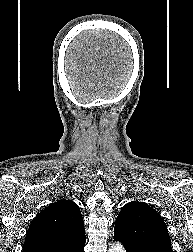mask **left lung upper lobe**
Masks as SVG:
<instances>
[{"instance_id": "1", "label": "left lung upper lobe", "mask_w": 193, "mask_h": 252, "mask_svg": "<svg viewBox=\"0 0 193 252\" xmlns=\"http://www.w3.org/2000/svg\"><path fill=\"white\" fill-rule=\"evenodd\" d=\"M114 237L126 248L164 245L171 248L165 222L155 209L143 202L123 206L116 221Z\"/></svg>"}]
</instances>
